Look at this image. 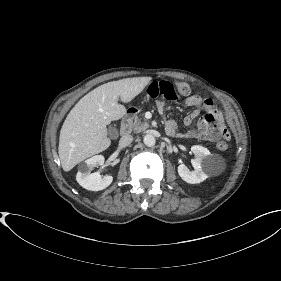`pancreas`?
<instances>
[{
  "instance_id": "cf45deb5",
  "label": "pancreas",
  "mask_w": 281,
  "mask_h": 281,
  "mask_svg": "<svg viewBox=\"0 0 281 281\" xmlns=\"http://www.w3.org/2000/svg\"><path fill=\"white\" fill-rule=\"evenodd\" d=\"M128 130L136 133L142 132L149 127L148 121L142 117V115L136 116L130 119L127 123Z\"/></svg>"
}]
</instances>
